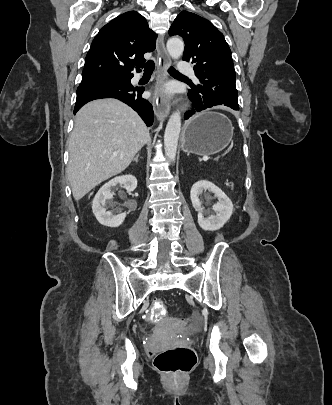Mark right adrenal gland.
I'll list each match as a JSON object with an SVG mask.
<instances>
[{
  "instance_id": "1",
  "label": "right adrenal gland",
  "mask_w": 332,
  "mask_h": 405,
  "mask_svg": "<svg viewBox=\"0 0 332 405\" xmlns=\"http://www.w3.org/2000/svg\"><path fill=\"white\" fill-rule=\"evenodd\" d=\"M139 153L137 154V156L133 159L134 162H138V158H139Z\"/></svg>"
}]
</instances>
